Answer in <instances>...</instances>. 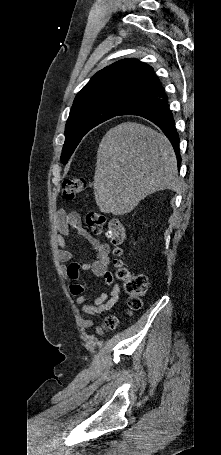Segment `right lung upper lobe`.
Segmentation results:
<instances>
[{"label":"right lung upper lobe","instance_id":"obj_1","mask_svg":"<svg viewBox=\"0 0 221 455\" xmlns=\"http://www.w3.org/2000/svg\"><path fill=\"white\" fill-rule=\"evenodd\" d=\"M152 67L124 59L100 70L76 95L72 109L92 103H112L124 110L147 96L157 85Z\"/></svg>","mask_w":221,"mask_h":455}]
</instances>
